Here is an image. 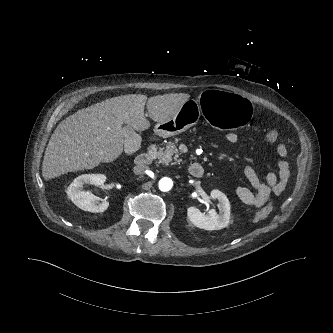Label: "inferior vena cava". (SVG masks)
Returning <instances> with one entry per match:
<instances>
[{"label": "inferior vena cava", "mask_w": 333, "mask_h": 333, "mask_svg": "<svg viewBox=\"0 0 333 333\" xmlns=\"http://www.w3.org/2000/svg\"><path fill=\"white\" fill-rule=\"evenodd\" d=\"M148 169L146 165H136L133 169V172L137 175L143 174Z\"/></svg>", "instance_id": "inferior-vena-cava-1"}]
</instances>
